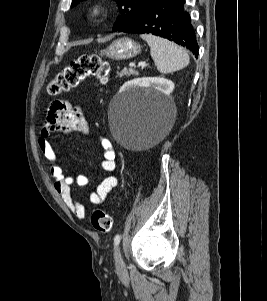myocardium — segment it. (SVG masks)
I'll return each instance as SVG.
<instances>
[{
	"label": "myocardium",
	"mask_w": 267,
	"mask_h": 301,
	"mask_svg": "<svg viewBox=\"0 0 267 301\" xmlns=\"http://www.w3.org/2000/svg\"><path fill=\"white\" fill-rule=\"evenodd\" d=\"M108 9L106 5L100 2H96L89 8L88 18L91 21H99L107 15Z\"/></svg>",
	"instance_id": "myocardium-1"
}]
</instances>
